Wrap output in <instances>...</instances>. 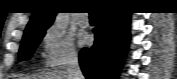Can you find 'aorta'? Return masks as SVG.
Here are the masks:
<instances>
[{
	"instance_id": "1",
	"label": "aorta",
	"mask_w": 177,
	"mask_h": 79,
	"mask_svg": "<svg viewBox=\"0 0 177 79\" xmlns=\"http://www.w3.org/2000/svg\"><path fill=\"white\" fill-rule=\"evenodd\" d=\"M68 21L66 16L63 13H60L56 16L54 21V27L57 29H65L67 27Z\"/></svg>"
}]
</instances>
